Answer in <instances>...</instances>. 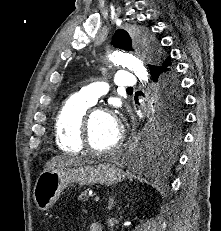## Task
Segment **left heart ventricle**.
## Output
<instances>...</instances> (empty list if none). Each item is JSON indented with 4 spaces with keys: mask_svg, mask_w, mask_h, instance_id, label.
<instances>
[{
    "mask_svg": "<svg viewBox=\"0 0 221 231\" xmlns=\"http://www.w3.org/2000/svg\"><path fill=\"white\" fill-rule=\"evenodd\" d=\"M119 128L107 113H96L91 120L90 140L97 149L111 146L117 139Z\"/></svg>",
    "mask_w": 221,
    "mask_h": 231,
    "instance_id": "b2bd125f",
    "label": "left heart ventricle"
}]
</instances>
